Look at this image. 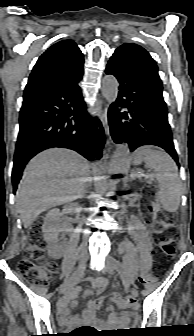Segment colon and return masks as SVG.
<instances>
[{"mask_svg": "<svg viewBox=\"0 0 194 336\" xmlns=\"http://www.w3.org/2000/svg\"><path fill=\"white\" fill-rule=\"evenodd\" d=\"M145 211L154 220L153 232L159 236L157 248L154 250L155 260L172 257L175 254L174 234L172 228L175 223L174 216L164 209L146 205ZM43 220H37L29 232V242L24 257L18 262V273L29 283L44 287L48 284L49 278L56 270V264L45 261V243L42 238ZM35 261H39L37 264ZM152 282L151 278L144 279V283ZM131 297L126 298V303H132ZM81 329V332L87 331ZM81 336V335H79Z\"/></svg>", "mask_w": 194, "mask_h": 336, "instance_id": "5ec220e1", "label": "colon"}]
</instances>
